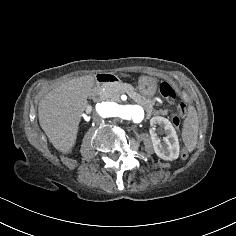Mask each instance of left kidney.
I'll use <instances>...</instances> for the list:
<instances>
[{
    "label": "left kidney",
    "instance_id": "left-kidney-1",
    "mask_svg": "<svg viewBox=\"0 0 236 236\" xmlns=\"http://www.w3.org/2000/svg\"><path fill=\"white\" fill-rule=\"evenodd\" d=\"M151 126L150 134L155 154L167 162L178 159L180 153L178 137L170 121L163 117H154L151 119ZM157 126L166 134L163 142L158 137L159 132L155 131Z\"/></svg>",
    "mask_w": 236,
    "mask_h": 236
}]
</instances>
